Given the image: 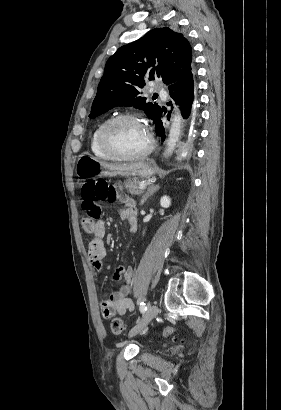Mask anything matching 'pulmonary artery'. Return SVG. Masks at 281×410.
Listing matches in <instances>:
<instances>
[{
	"label": "pulmonary artery",
	"instance_id": "1",
	"mask_svg": "<svg viewBox=\"0 0 281 410\" xmlns=\"http://www.w3.org/2000/svg\"><path fill=\"white\" fill-rule=\"evenodd\" d=\"M157 89H158L159 93H164L163 89L160 86H158Z\"/></svg>",
	"mask_w": 281,
	"mask_h": 410
}]
</instances>
